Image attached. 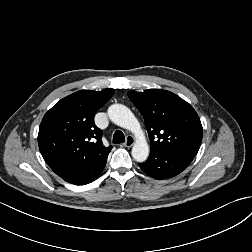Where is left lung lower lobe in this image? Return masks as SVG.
<instances>
[{"instance_id":"1","label":"left lung lower lobe","mask_w":252,"mask_h":252,"mask_svg":"<svg viewBox=\"0 0 252 252\" xmlns=\"http://www.w3.org/2000/svg\"><path fill=\"white\" fill-rule=\"evenodd\" d=\"M193 156L184 153L150 154L140 168L156 179H167L181 173L193 160Z\"/></svg>"}]
</instances>
